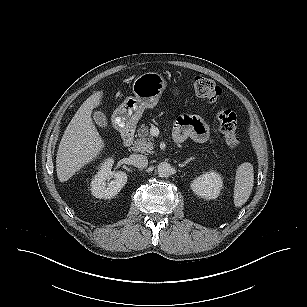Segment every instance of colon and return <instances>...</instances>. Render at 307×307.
<instances>
[{"label":"colon","mask_w":307,"mask_h":307,"mask_svg":"<svg viewBox=\"0 0 307 307\" xmlns=\"http://www.w3.org/2000/svg\"><path fill=\"white\" fill-rule=\"evenodd\" d=\"M191 87L194 94L206 99L211 103H217L221 96V88L211 79L196 76L191 79ZM219 123V130L224 136L226 144L230 148H237L241 145V138L236 132V115L228 107H219L216 112Z\"/></svg>","instance_id":"1"}]
</instances>
